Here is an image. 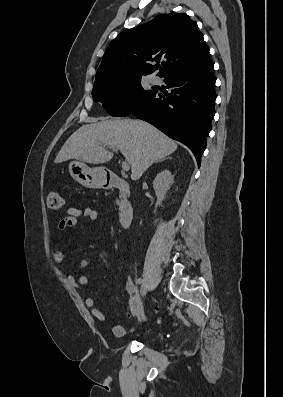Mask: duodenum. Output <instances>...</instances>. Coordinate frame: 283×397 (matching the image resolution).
<instances>
[{"label":"duodenum","mask_w":283,"mask_h":397,"mask_svg":"<svg viewBox=\"0 0 283 397\" xmlns=\"http://www.w3.org/2000/svg\"><path fill=\"white\" fill-rule=\"evenodd\" d=\"M105 187L109 189H119L125 195L129 192L128 184L125 180L117 175H110L105 181ZM134 218V209L132 204L124 198L120 204L118 219L123 228H128Z\"/></svg>","instance_id":"1"}]
</instances>
